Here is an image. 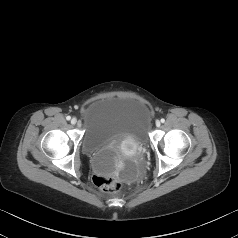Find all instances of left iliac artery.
Masks as SVG:
<instances>
[{"instance_id": "left-iliac-artery-1", "label": "left iliac artery", "mask_w": 238, "mask_h": 238, "mask_svg": "<svg viewBox=\"0 0 238 238\" xmlns=\"http://www.w3.org/2000/svg\"><path fill=\"white\" fill-rule=\"evenodd\" d=\"M161 122H162V123H164V122H165V119H164V118H162V119H161Z\"/></svg>"}]
</instances>
